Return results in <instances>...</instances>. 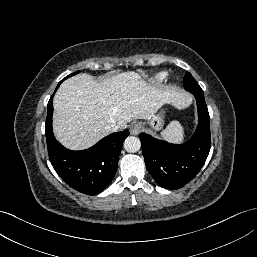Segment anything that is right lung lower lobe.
<instances>
[{
    "instance_id": "obj_1",
    "label": "right lung lower lobe",
    "mask_w": 257,
    "mask_h": 257,
    "mask_svg": "<svg viewBox=\"0 0 257 257\" xmlns=\"http://www.w3.org/2000/svg\"><path fill=\"white\" fill-rule=\"evenodd\" d=\"M53 95L47 105L45 123L51 164L70 187L88 195L98 194L110 184L115 176L122 145L129 131L110 134L86 150L66 149L55 139L52 131Z\"/></svg>"
}]
</instances>
